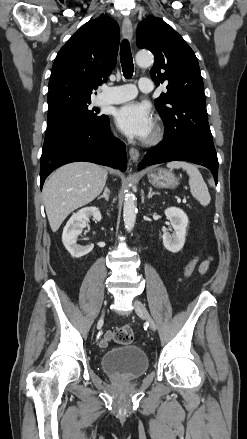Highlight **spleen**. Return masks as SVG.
<instances>
[{
  "label": "spleen",
  "instance_id": "1",
  "mask_svg": "<svg viewBox=\"0 0 247 439\" xmlns=\"http://www.w3.org/2000/svg\"><path fill=\"white\" fill-rule=\"evenodd\" d=\"M168 168L179 169L182 168L189 175L190 192L194 198H196L202 206H207L211 197L203 177L196 166L181 161H172L167 163Z\"/></svg>",
  "mask_w": 247,
  "mask_h": 439
}]
</instances>
